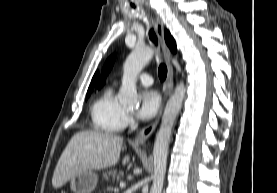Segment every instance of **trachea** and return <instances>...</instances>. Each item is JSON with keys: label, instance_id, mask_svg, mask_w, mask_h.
Here are the masks:
<instances>
[{"label": "trachea", "instance_id": "trachea-1", "mask_svg": "<svg viewBox=\"0 0 277 193\" xmlns=\"http://www.w3.org/2000/svg\"><path fill=\"white\" fill-rule=\"evenodd\" d=\"M149 37H150V39H151L152 42H154L155 44H157V37H156V35H155V33H154L153 30H150V31H149ZM158 75H159L160 80L163 81V80L166 79V76H167V67H166L163 63H161V64L159 65V68H158Z\"/></svg>", "mask_w": 277, "mask_h": 193}]
</instances>
